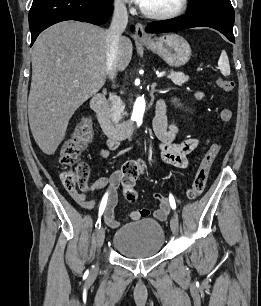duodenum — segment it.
Wrapping results in <instances>:
<instances>
[{
    "label": "duodenum",
    "mask_w": 261,
    "mask_h": 306,
    "mask_svg": "<svg viewBox=\"0 0 261 306\" xmlns=\"http://www.w3.org/2000/svg\"><path fill=\"white\" fill-rule=\"evenodd\" d=\"M91 108L95 112L103 132L109 138L122 140L133 133V123L130 121H118L110 114L104 95H95L91 100Z\"/></svg>",
    "instance_id": "410a0bca"
}]
</instances>
